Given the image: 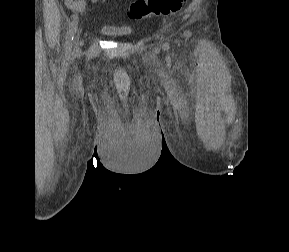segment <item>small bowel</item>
Here are the masks:
<instances>
[{"label": "small bowel", "mask_w": 289, "mask_h": 252, "mask_svg": "<svg viewBox=\"0 0 289 252\" xmlns=\"http://www.w3.org/2000/svg\"><path fill=\"white\" fill-rule=\"evenodd\" d=\"M99 0H65L68 9L73 12H83L88 8L89 3H96Z\"/></svg>", "instance_id": "small-bowel-1"}]
</instances>
